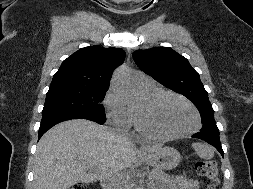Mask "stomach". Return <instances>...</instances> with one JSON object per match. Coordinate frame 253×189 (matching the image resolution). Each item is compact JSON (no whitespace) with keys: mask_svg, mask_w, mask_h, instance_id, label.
Wrapping results in <instances>:
<instances>
[{"mask_svg":"<svg viewBox=\"0 0 253 189\" xmlns=\"http://www.w3.org/2000/svg\"><path fill=\"white\" fill-rule=\"evenodd\" d=\"M181 157L175 148L164 147L155 153L148 154L144 161L157 169L169 170L175 168L180 162Z\"/></svg>","mask_w":253,"mask_h":189,"instance_id":"1","label":"stomach"}]
</instances>
